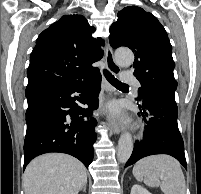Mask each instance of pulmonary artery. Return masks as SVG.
<instances>
[{
  "instance_id": "e3ab8cb5",
  "label": "pulmonary artery",
  "mask_w": 201,
  "mask_h": 194,
  "mask_svg": "<svg viewBox=\"0 0 201 194\" xmlns=\"http://www.w3.org/2000/svg\"><path fill=\"white\" fill-rule=\"evenodd\" d=\"M120 79L124 83L132 84L136 88L140 87L139 81L136 79V77L129 71H124L120 74Z\"/></svg>"
}]
</instances>
